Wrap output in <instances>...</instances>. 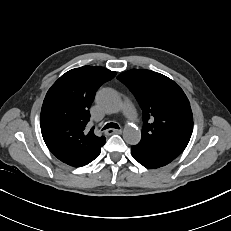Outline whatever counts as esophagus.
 <instances>
[{"label": "esophagus", "instance_id": "esophagus-1", "mask_svg": "<svg viewBox=\"0 0 231 231\" xmlns=\"http://www.w3.org/2000/svg\"><path fill=\"white\" fill-rule=\"evenodd\" d=\"M107 134H121L122 133V130L121 129H108L106 131Z\"/></svg>", "mask_w": 231, "mask_h": 231}]
</instances>
